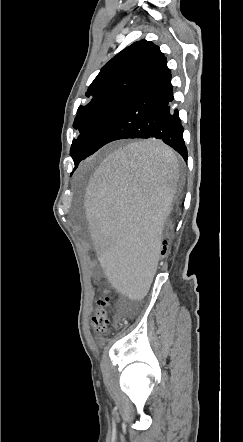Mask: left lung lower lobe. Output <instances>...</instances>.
<instances>
[{"label":"left lung lower lobe","instance_id":"1","mask_svg":"<svg viewBox=\"0 0 243 442\" xmlns=\"http://www.w3.org/2000/svg\"><path fill=\"white\" fill-rule=\"evenodd\" d=\"M171 73L163 56L145 79L114 109L85 158L105 144L127 138L160 139L187 161L183 127L173 101Z\"/></svg>","mask_w":243,"mask_h":442}]
</instances>
